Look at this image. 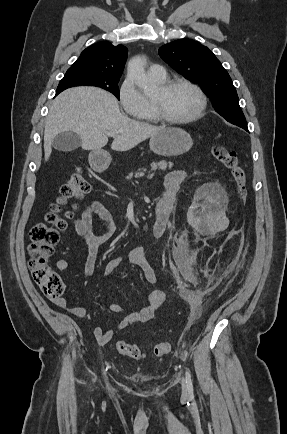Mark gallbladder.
I'll use <instances>...</instances> for the list:
<instances>
[{
	"instance_id": "gallbladder-1",
	"label": "gallbladder",
	"mask_w": 287,
	"mask_h": 434,
	"mask_svg": "<svg viewBox=\"0 0 287 434\" xmlns=\"http://www.w3.org/2000/svg\"><path fill=\"white\" fill-rule=\"evenodd\" d=\"M52 144L56 150L69 152L79 148L82 141L76 133L69 131L58 134Z\"/></svg>"
}]
</instances>
